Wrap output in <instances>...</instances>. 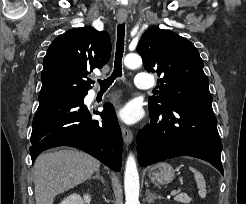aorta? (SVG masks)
I'll return each mask as SVG.
<instances>
[{"mask_svg":"<svg viewBox=\"0 0 246 204\" xmlns=\"http://www.w3.org/2000/svg\"><path fill=\"white\" fill-rule=\"evenodd\" d=\"M125 66L137 68L142 65L138 54H128L124 58ZM125 204H139V174L134 156L130 154L126 161L124 175Z\"/></svg>","mask_w":246,"mask_h":204,"instance_id":"aorta-1","label":"aorta"}]
</instances>
